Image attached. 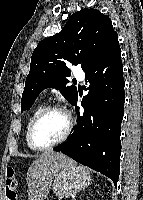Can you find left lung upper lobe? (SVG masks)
<instances>
[{"instance_id":"5c2ea615","label":"left lung upper lobe","mask_w":143,"mask_h":200,"mask_svg":"<svg viewBox=\"0 0 143 200\" xmlns=\"http://www.w3.org/2000/svg\"><path fill=\"white\" fill-rule=\"evenodd\" d=\"M117 36L111 19L95 9L74 13L62 31L39 42L33 51L30 72L21 99V112L30 109L42 90H60L72 104L77 96L74 86H67L68 63L89 68Z\"/></svg>"}]
</instances>
